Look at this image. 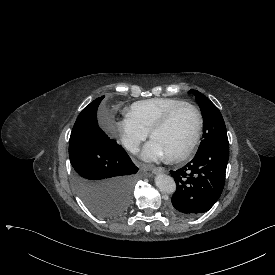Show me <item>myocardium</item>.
Instances as JSON below:
<instances>
[{"label": "myocardium", "instance_id": "obj_1", "mask_svg": "<svg viewBox=\"0 0 275 275\" xmlns=\"http://www.w3.org/2000/svg\"><path fill=\"white\" fill-rule=\"evenodd\" d=\"M183 109H190L193 112L195 118V130L191 140L183 149H181L174 155L168 156V159L170 161H179L181 159H184L193 151V149L197 145L202 132V119L198 109L190 103L178 105L167 112V114L159 122H157L150 131V138L153 139V136L157 132L167 128L170 125L174 116Z\"/></svg>", "mask_w": 275, "mask_h": 275}]
</instances>
